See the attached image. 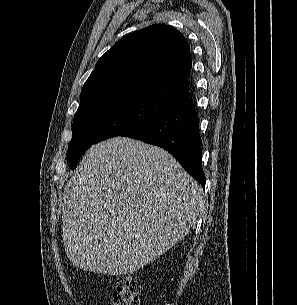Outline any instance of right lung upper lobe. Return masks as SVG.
<instances>
[{
  "label": "right lung upper lobe",
  "instance_id": "right-lung-upper-lobe-1",
  "mask_svg": "<svg viewBox=\"0 0 297 305\" xmlns=\"http://www.w3.org/2000/svg\"><path fill=\"white\" fill-rule=\"evenodd\" d=\"M191 67L189 44L178 30L165 24L138 30L98 60L82 88L79 108L121 95L177 103L189 96Z\"/></svg>",
  "mask_w": 297,
  "mask_h": 305
}]
</instances>
